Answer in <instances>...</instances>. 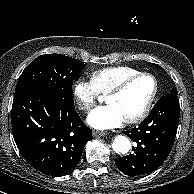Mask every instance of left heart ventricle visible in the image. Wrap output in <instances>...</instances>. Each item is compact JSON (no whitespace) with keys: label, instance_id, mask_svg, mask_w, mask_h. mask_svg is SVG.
I'll return each mask as SVG.
<instances>
[{"label":"left heart ventricle","instance_id":"obj_1","mask_svg":"<svg viewBox=\"0 0 194 194\" xmlns=\"http://www.w3.org/2000/svg\"><path fill=\"white\" fill-rule=\"evenodd\" d=\"M153 88L151 78L141 77L131 82L121 94L106 98V102L114 105L125 119H129L144 109Z\"/></svg>","mask_w":194,"mask_h":194}]
</instances>
